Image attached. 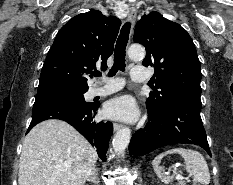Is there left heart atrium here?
I'll use <instances>...</instances> for the list:
<instances>
[{
    "label": "left heart atrium",
    "mask_w": 233,
    "mask_h": 185,
    "mask_svg": "<svg viewBox=\"0 0 233 185\" xmlns=\"http://www.w3.org/2000/svg\"><path fill=\"white\" fill-rule=\"evenodd\" d=\"M105 114L111 119L131 122L137 119L139 111L136 102L131 96L122 95L106 104Z\"/></svg>",
    "instance_id": "obj_1"
}]
</instances>
